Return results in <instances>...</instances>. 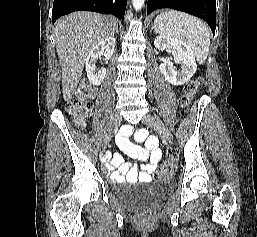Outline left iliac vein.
I'll use <instances>...</instances> for the list:
<instances>
[{
  "label": "left iliac vein",
  "instance_id": "4c4485c4",
  "mask_svg": "<svg viewBox=\"0 0 257 237\" xmlns=\"http://www.w3.org/2000/svg\"><path fill=\"white\" fill-rule=\"evenodd\" d=\"M142 122L145 125L153 128L164 141H166L169 144L173 143V137L170 131L159 118L148 114L144 116Z\"/></svg>",
  "mask_w": 257,
  "mask_h": 237
}]
</instances>
